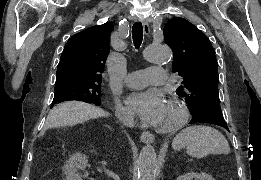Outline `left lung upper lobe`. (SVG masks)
I'll return each mask as SVG.
<instances>
[{"label":"left lung upper lobe","mask_w":261,"mask_h":180,"mask_svg":"<svg viewBox=\"0 0 261 180\" xmlns=\"http://www.w3.org/2000/svg\"><path fill=\"white\" fill-rule=\"evenodd\" d=\"M174 53L173 72L183 77L176 93L185 99L193 119L224 121L218 92V67L208 37L189 21L175 17L163 30Z\"/></svg>","instance_id":"left-lung-upper-lobe-1"}]
</instances>
